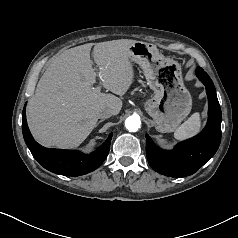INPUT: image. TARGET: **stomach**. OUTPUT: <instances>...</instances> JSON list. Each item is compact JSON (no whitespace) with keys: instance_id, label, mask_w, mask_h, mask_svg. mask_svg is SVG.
<instances>
[{"instance_id":"obj_1","label":"stomach","mask_w":238,"mask_h":238,"mask_svg":"<svg viewBox=\"0 0 238 238\" xmlns=\"http://www.w3.org/2000/svg\"><path fill=\"white\" fill-rule=\"evenodd\" d=\"M130 60L143 70L147 84L154 91L144 103L159 132H173L188 116L192 107L184 86L181 65L162 55L154 44L136 41L129 48Z\"/></svg>"}]
</instances>
